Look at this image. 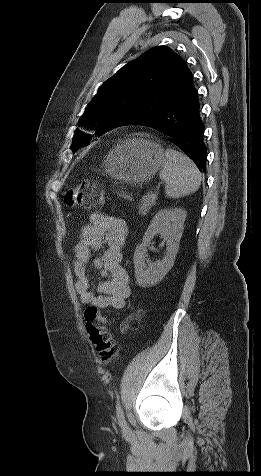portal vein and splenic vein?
<instances>
[{
  "instance_id": "portal-vein-and-splenic-vein-1",
  "label": "portal vein and splenic vein",
  "mask_w": 261,
  "mask_h": 476,
  "mask_svg": "<svg viewBox=\"0 0 261 476\" xmlns=\"http://www.w3.org/2000/svg\"><path fill=\"white\" fill-rule=\"evenodd\" d=\"M152 197H153L154 199H156L157 194H156V193L152 194Z\"/></svg>"
}]
</instances>
